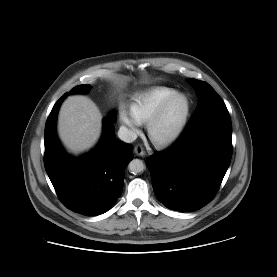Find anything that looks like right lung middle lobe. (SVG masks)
Wrapping results in <instances>:
<instances>
[{
  "mask_svg": "<svg viewBox=\"0 0 277 277\" xmlns=\"http://www.w3.org/2000/svg\"><path fill=\"white\" fill-rule=\"evenodd\" d=\"M91 88L90 85H79L74 87L70 92L64 94L62 97L65 98L66 96H68L69 94H73V93H85L86 91H88ZM116 117V113H113L111 115V119H115Z\"/></svg>",
  "mask_w": 277,
  "mask_h": 277,
  "instance_id": "1",
  "label": "right lung middle lobe"
}]
</instances>
